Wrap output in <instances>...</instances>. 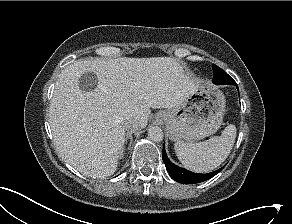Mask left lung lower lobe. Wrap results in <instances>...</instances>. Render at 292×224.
I'll use <instances>...</instances> for the list:
<instances>
[{"instance_id":"1","label":"left lung lower lobe","mask_w":292,"mask_h":224,"mask_svg":"<svg viewBox=\"0 0 292 224\" xmlns=\"http://www.w3.org/2000/svg\"><path fill=\"white\" fill-rule=\"evenodd\" d=\"M225 79L224 81L218 82L219 84H230V85H236V82L227 74L225 73ZM238 89V87H237ZM162 159L165 163L166 169L172 179L175 181L182 183V184H195L200 183L203 181H206L216 174H218L223 168L218 169L217 171L210 172L207 174H198L191 171H188L184 168L178 167L177 165L173 164L168 157L166 156L165 149L163 146L162 150Z\"/></svg>"}]
</instances>
